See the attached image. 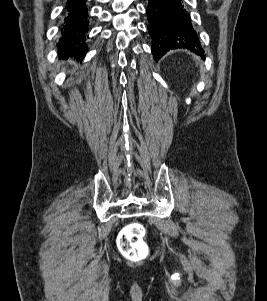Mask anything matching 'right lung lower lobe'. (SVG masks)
I'll list each match as a JSON object with an SVG mask.
<instances>
[{
	"label": "right lung lower lobe",
	"instance_id": "right-lung-lower-lobe-1",
	"mask_svg": "<svg viewBox=\"0 0 267 301\" xmlns=\"http://www.w3.org/2000/svg\"><path fill=\"white\" fill-rule=\"evenodd\" d=\"M86 0H67L63 14L60 39L57 44L59 57L83 59L87 52L85 39L89 30Z\"/></svg>",
	"mask_w": 267,
	"mask_h": 301
}]
</instances>
